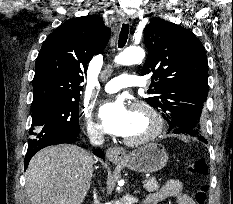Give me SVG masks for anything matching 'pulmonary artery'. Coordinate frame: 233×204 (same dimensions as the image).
Segmentation results:
<instances>
[{
	"mask_svg": "<svg viewBox=\"0 0 233 204\" xmlns=\"http://www.w3.org/2000/svg\"><path fill=\"white\" fill-rule=\"evenodd\" d=\"M141 80L133 75L121 74L104 85V91L107 93H115L122 88L132 87V86H141Z\"/></svg>",
	"mask_w": 233,
	"mask_h": 204,
	"instance_id": "1",
	"label": "pulmonary artery"
}]
</instances>
